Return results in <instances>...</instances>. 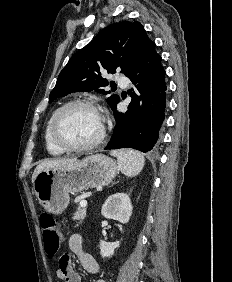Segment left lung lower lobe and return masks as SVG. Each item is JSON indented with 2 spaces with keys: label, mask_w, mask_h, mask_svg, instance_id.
I'll use <instances>...</instances> for the list:
<instances>
[{
  "label": "left lung lower lobe",
  "mask_w": 232,
  "mask_h": 282,
  "mask_svg": "<svg viewBox=\"0 0 232 282\" xmlns=\"http://www.w3.org/2000/svg\"><path fill=\"white\" fill-rule=\"evenodd\" d=\"M126 76L134 84L132 100L125 113L116 110L119 101L111 108L116 125L105 149L133 148L146 153L157 148L165 118V70L154 42L148 44L141 60Z\"/></svg>",
  "instance_id": "left-lung-lower-lobe-1"
}]
</instances>
